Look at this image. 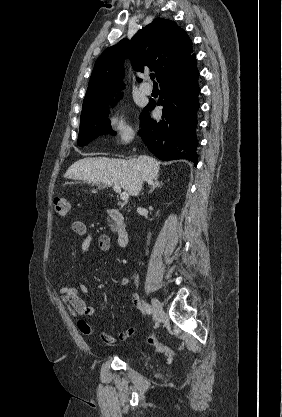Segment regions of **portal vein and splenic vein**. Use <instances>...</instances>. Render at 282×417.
<instances>
[{
	"label": "portal vein and splenic vein",
	"instance_id": "obj_1",
	"mask_svg": "<svg viewBox=\"0 0 282 417\" xmlns=\"http://www.w3.org/2000/svg\"><path fill=\"white\" fill-rule=\"evenodd\" d=\"M112 188H114L115 192H118V194H120V198H122V200H128L129 194L128 192H122L121 186H117V184H114Z\"/></svg>",
	"mask_w": 282,
	"mask_h": 417
}]
</instances>
